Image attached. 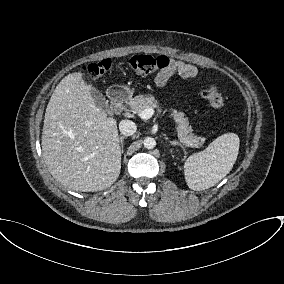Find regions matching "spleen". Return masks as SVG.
I'll return each instance as SVG.
<instances>
[{"instance_id":"3e777b00","label":"spleen","mask_w":284,"mask_h":284,"mask_svg":"<svg viewBox=\"0 0 284 284\" xmlns=\"http://www.w3.org/2000/svg\"><path fill=\"white\" fill-rule=\"evenodd\" d=\"M240 140L235 133L217 137L201 152L187 158L184 175L190 189H208L221 181L233 168L239 152Z\"/></svg>"}]
</instances>
